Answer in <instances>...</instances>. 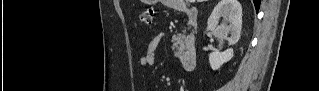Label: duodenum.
<instances>
[{
  "instance_id": "duodenum-1",
  "label": "duodenum",
  "mask_w": 319,
  "mask_h": 91,
  "mask_svg": "<svg viewBox=\"0 0 319 91\" xmlns=\"http://www.w3.org/2000/svg\"><path fill=\"white\" fill-rule=\"evenodd\" d=\"M184 12L188 17L190 25L193 28H196L198 23L197 9L193 7H187ZM180 61L184 69L187 71H190L195 67L197 61V48L194 35L190 36L188 39L185 50L180 55Z\"/></svg>"
}]
</instances>
